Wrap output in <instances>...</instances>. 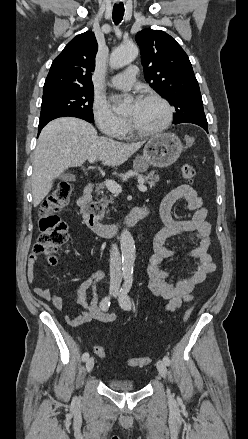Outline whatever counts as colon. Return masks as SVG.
Masks as SVG:
<instances>
[{
	"instance_id": "1",
	"label": "colon",
	"mask_w": 248,
	"mask_h": 439,
	"mask_svg": "<svg viewBox=\"0 0 248 439\" xmlns=\"http://www.w3.org/2000/svg\"><path fill=\"white\" fill-rule=\"evenodd\" d=\"M196 171L193 165L184 164L182 167L183 178L192 183ZM72 194V184L68 181L61 182L43 203L40 209L39 227L40 236L34 246L33 251L36 254L48 256L51 264L56 263L53 254L66 243L68 239V229L64 221L60 219L57 213L69 202ZM192 314V307H189L183 316L187 321ZM94 352L101 358L106 357V351L100 346H94ZM150 357L130 358L127 365L130 367H141L151 363Z\"/></svg>"
}]
</instances>
